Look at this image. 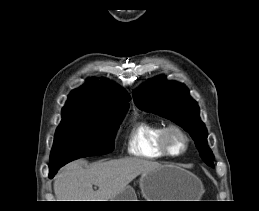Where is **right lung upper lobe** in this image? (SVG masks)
Returning <instances> with one entry per match:
<instances>
[{"label":"right lung upper lobe","mask_w":259,"mask_h":211,"mask_svg":"<svg viewBox=\"0 0 259 211\" xmlns=\"http://www.w3.org/2000/svg\"><path fill=\"white\" fill-rule=\"evenodd\" d=\"M130 96L121 88L108 81H98L95 78L73 90L62 109V115L83 111L87 113H125Z\"/></svg>","instance_id":"1"}]
</instances>
